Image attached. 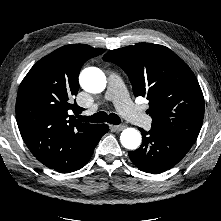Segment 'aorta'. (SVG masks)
I'll return each instance as SVG.
<instances>
[{
	"mask_svg": "<svg viewBox=\"0 0 221 221\" xmlns=\"http://www.w3.org/2000/svg\"><path fill=\"white\" fill-rule=\"evenodd\" d=\"M81 87L89 93L98 94L106 88L107 80L105 74L96 67H88L82 70L79 76ZM141 134L135 128H126L120 135V142L130 150L137 149L141 144Z\"/></svg>",
	"mask_w": 221,
	"mask_h": 221,
	"instance_id": "1",
	"label": "aorta"
}]
</instances>
